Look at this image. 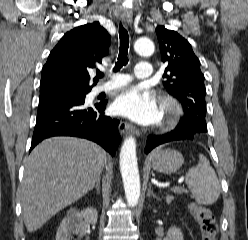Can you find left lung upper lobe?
Masks as SVG:
<instances>
[{
  "mask_svg": "<svg viewBox=\"0 0 248 240\" xmlns=\"http://www.w3.org/2000/svg\"><path fill=\"white\" fill-rule=\"evenodd\" d=\"M161 49V59L167 65L163 77L168 93L176 97L183 106L184 118L176 129L193 133L207 132L206 89L200 61L190 43L173 30L164 26L156 28Z\"/></svg>",
  "mask_w": 248,
  "mask_h": 240,
  "instance_id": "5c2ea615",
  "label": "left lung upper lobe"
}]
</instances>
